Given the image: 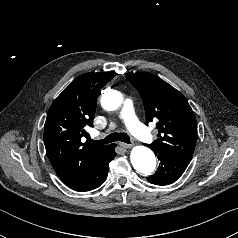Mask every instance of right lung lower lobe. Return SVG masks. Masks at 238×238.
Returning <instances> with one entry per match:
<instances>
[{"label":"right lung lower lobe","instance_id":"1","mask_svg":"<svg viewBox=\"0 0 238 238\" xmlns=\"http://www.w3.org/2000/svg\"><path fill=\"white\" fill-rule=\"evenodd\" d=\"M114 148L115 145L113 144L110 150L87 172L66 185L79 192L90 191L101 186L106 180L109 162L116 156Z\"/></svg>","mask_w":238,"mask_h":238}]
</instances>
